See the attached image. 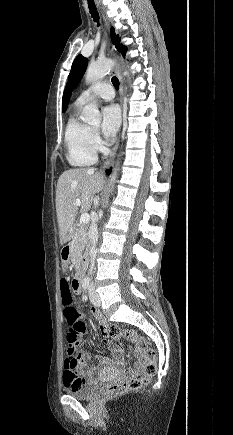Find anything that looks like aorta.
I'll return each mask as SVG.
<instances>
[{
    "instance_id": "obj_1",
    "label": "aorta",
    "mask_w": 233,
    "mask_h": 435,
    "mask_svg": "<svg viewBox=\"0 0 233 435\" xmlns=\"http://www.w3.org/2000/svg\"><path fill=\"white\" fill-rule=\"evenodd\" d=\"M114 62L110 59H104L97 61L96 63L90 65L87 69L85 80L87 83H94L105 77L113 67ZM125 75H128L125 72ZM82 119L84 122L98 126L101 123V115L95 103L88 104L84 107L82 112ZM117 168H114L111 175L110 185L113 188L114 182L116 180Z\"/></svg>"
}]
</instances>
